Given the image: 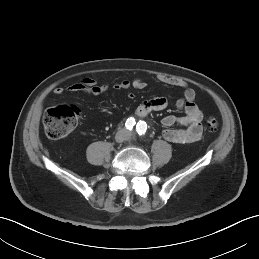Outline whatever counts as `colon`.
<instances>
[{
	"instance_id": "colon-1",
	"label": "colon",
	"mask_w": 259,
	"mask_h": 259,
	"mask_svg": "<svg viewBox=\"0 0 259 259\" xmlns=\"http://www.w3.org/2000/svg\"><path fill=\"white\" fill-rule=\"evenodd\" d=\"M80 111L73 105L62 104L49 109L43 118L46 135L51 139H61L69 134L76 126ZM206 128L215 132L219 123L215 118L208 117Z\"/></svg>"
}]
</instances>
